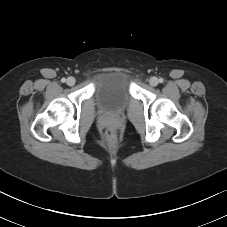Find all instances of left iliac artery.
Masks as SVG:
<instances>
[{
	"instance_id": "left-iliac-artery-1",
	"label": "left iliac artery",
	"mask_w": 227,
	"mask_h": 227,
	"mask_svg": "<svg viewBox=\"0 0 227 227\" xmlns=\"http://www.w3.org/2000/svg\"><path fill=\"white\" fill-rule=\"evenodd\" d=\"M163 81H164L163 78H159L160 83H163Z\"/></svg>"
}]
</instances>
